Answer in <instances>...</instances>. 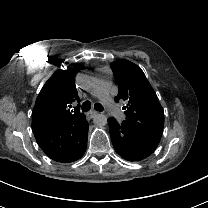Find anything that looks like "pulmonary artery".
Wrapping results in <instances>:
<instances>
[{
  "label": "pulmonary artery",
  "instance_id": "obj_1",
  "mask_svg": "<svg viewBox=\"0 0 208 208\" xmlns=\"http://www.w3.org/2000/svg\"><path fill=\"white\" fill-rule=\"evenodd\" d=\"M110 76V69L108 67L99 68L93 77V85L91 88V95L94 97H99L105 106L113 112L114 116L122 121L125 116L121 114L118 107L108 98L105 91L108 87V80Z\"/></svg>",
  "mask_w": 208,
  "mask_h": 208
}]
</instances>
